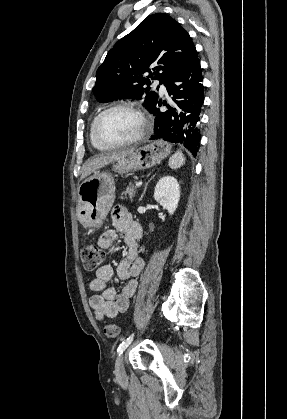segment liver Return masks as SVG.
I'll use <instances>...</instances> for the list:
<instances>
[{
  "label": "liver",
  "instance_id": "1",
  "mask_svg": "<svg viewBox=\"0 0 287 419\" xmlns=\"http://www.w3.org/2000/svg\"><path fill=\"white\" fill-rule=\"evenodd\" d=\"M134 149L109 153V154H102L99 156H96L89 160L83 169L81 179H84L88 175H90L92 172L98 170L99 168H102L112 162L118 161L126 156H128L130 153H132Z\"/></svg>",
  "mask_w": 287,
  "mask_h": 419
}]
</instances>
